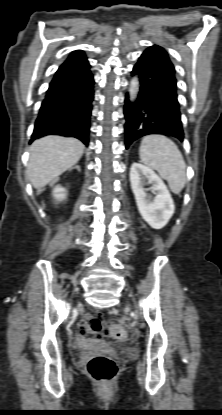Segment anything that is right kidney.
<instances>
[{
	"label": "right kidney",
	"instance_id": "ca27d5eb",
	"mask_svg": "<svg viewBox=\"0 0 222 415\" xmlns=\"http://www.w3.org/2000/svg\"><path fill=\"white\" fill-rule=\"evenodd\" d=\"M65 192H66V190L58 185L53 190V197L56 200L61 201V200L66 198V193Z\"/></svg>",
	"mask_w": 222,
	"mask_h": 415
}]
</instances>
